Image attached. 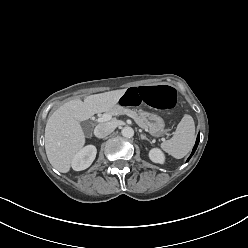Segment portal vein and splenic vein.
Here are the masks:
<instances>
[{"label":"portal vein and splenic vein","instance_id":"1","mask_svg":"<svg viewBox=\"0 0 248 248\" xmlns=\"http://www.w3.org/2000/svg\"><path fill=\"white\" fill-rule=\"evenodd\" d=\"M112 118V115L110 114H103L101 117H99L97 119V122L98 123H103V122H107V121H110Z\"/></svg>","mask_w":248,"mask_h":248}]
</instances>
